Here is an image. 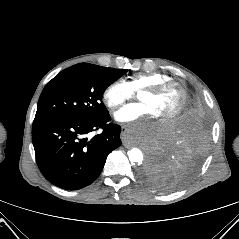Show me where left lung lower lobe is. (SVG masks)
<instances>
[{"label":"left lung lower lobe","mask_w":239,"mask_h":239,"mask_svg":"<svg viewBox=\"0 0 239 239\" xmlns=\"http://www.w3.org/2000/svg\"><path fill=\"white\" fill-rule=\"evenodd\" d=\"M209 124L198 97L188 100L186 108L161 142L151 151L144 171L163 191L177 188L194 176L207 149Z\"/></svg>","instance_id":"1"}]
</instances>
